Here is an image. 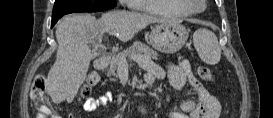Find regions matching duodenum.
I'll list each match as a JSON object with an SVG mask.
<instances>
[{
  "instance_id": "1",
  "label": "duodenum",
  "mask_w": 273,
  "mask_h": 118,
  "mask_svg": "<svg viewBox=\"0 0 273 118\" xmlns=\"http://www.w3.org/2000/svg\"><path fill=\"white\" fill-rule=\"evenodd\" d=\"M108 65V60L106 57H102L96 60L95 66L97 69H104ZM147 84H151V82H147Z\"/></svg>"
}]
</instances>
